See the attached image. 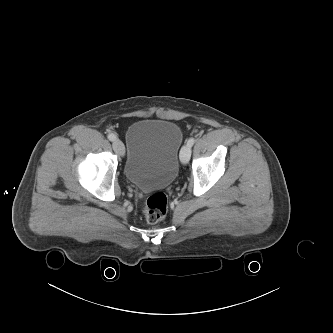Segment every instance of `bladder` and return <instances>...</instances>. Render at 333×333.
Masks as SVG:
<instances>
[{"instance_id": "obj_1", "label": "bladder", "mask_w": 333, "mask_h": 333, "mask_svg": "<svg viewBox=\"0 0 333 333\" xmlns=\"http://www.w3.org/2000/svg\"><path fill=\"white\" fill-rule=\"evenodd\" d=\"M124 173L141 190L168 187L179 170L183 131L174 121L144 119L133 123L126 134Z\"/></svg>"}]
</instances>
